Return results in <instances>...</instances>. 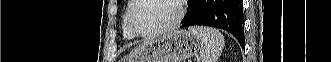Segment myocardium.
I'll list each match as a JSON object with an SVG mask.
<instances>
[{
  "label": "myocardium",
  "mask_w": 331,
  "mask_h": 62,
  "mask_svg": "<svg viewBox=\"0 0 331 62\" xmlns=\"http://www.w3.org/2000/svg\"><path fill=\"white\" fill-rule=\"evenodd\" d=\"M142 1L143 0H134L133 1V5L130 9L129 17H128L130 28L137 36L152 37V36H157V35L163 34L165 32H168V31L176 28L180 24L181 20L183 19L184 12H185L184 1L174 0L176 2L177 8H178V14L171 23H169L159 29H155V30H150V31L141 30L136 25L134 15Z\"/></svg>",
  "instance_id": "1"
}]
</instances>
